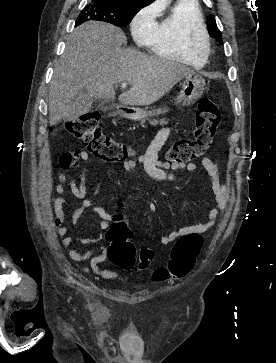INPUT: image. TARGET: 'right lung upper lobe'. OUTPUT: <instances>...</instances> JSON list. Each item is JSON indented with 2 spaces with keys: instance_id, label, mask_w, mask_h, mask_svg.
<instances>
[{
  "instance_id": "cb5924a9",
  "label": "right lung upper lobe",
  "mask_w": 276,
  "mask_h": 363,
  "mask_svg": "<svg viewBox=\"0 0 276 363\" xmlns=\"http://www.w3.org/2000/svg\"><path fill=\"white\" fill-rule=\"evenodd\" d=\"M110 1H115V2H120V3L146 5V4H149L152 0H110Z\"/></svg>"
}]
</instances>
